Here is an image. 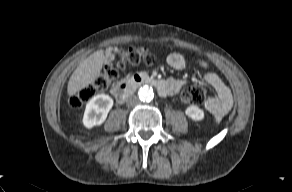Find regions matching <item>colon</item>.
<instances>
[{
	"instance_id": "obj_1",
	"label": "colon",
	"mask_w": 292,
	"mask_h": 192,
	"mask_svg": "<svg viewBox=\"0 0 292 192\" xmlns=\"http://www.w3.org/2000/svg\"><path fill=\"white\" fill-rule=\"evenodd\" d=\"M141 62L148 65L152 64L154 62L153 54L144 48L127 49L115 64L105 66L95 81L73 94L69 99L70 105L73 108L81 107L96 94L107 90L112 82L117 79L120 70L125 69L128 65H136ZM213 98V92L203 86L188 87L181 94V100L189 104H201Z\"/></svg>"
}]
</instances>
